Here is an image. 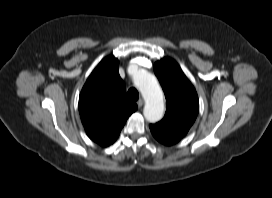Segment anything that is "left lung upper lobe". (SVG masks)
Returning <instances> with one entry per match:
<instances>
[{
    "label": "left lung upper lobe",
    "instance_id": "5c2ea615",
    "mask_svg": "<svg viewBox=\"0 0 272 198\" xmlns=\"http://www.w3.org/2000/svg\"><path fill=\"white\" fill-rule=\"evenodd\" d=\"M154 73L165 93L167 108L164 118L155 125L183 137L198 115L196 90L179 65L170 58L157 61Z\"/></svg>",
    "mask_w": 272,
    "mask_h": 198
}]
</instances>
